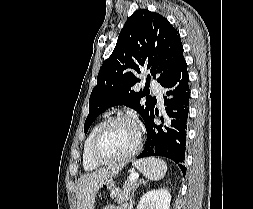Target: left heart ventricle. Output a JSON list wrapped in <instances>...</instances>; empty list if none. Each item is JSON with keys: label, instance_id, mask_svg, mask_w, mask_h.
Segmentation results:
<instances>
[{"label": "left heart ventricle", "instance_id": "1", "mask_svg": "<svg viewBox=\"0 0 253 209\" xmlns=\"http://www.w3.org/2000/svg\"><path fill=\"white\" fill-rule=\"evenodd\" d=\"M136 138V128L131 122L114 121L104 129L97 151L104 158H117L134 147Z\"/></svg>", "mask_w": 253, "mask_h": 209}]
</instances>
